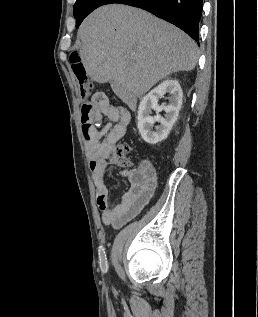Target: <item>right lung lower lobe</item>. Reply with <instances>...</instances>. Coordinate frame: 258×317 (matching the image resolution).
<instances>
[{"instance_id": "98d812e1", "label": "right lung lower lobe", "mask_w": 258, "mask_h": 317, "mask_svg": "<svg viewBox=\"0 0 258 317\" xmlns=\"http://www.w3.org/2000/svg\"><path fill=\"white\" fill-rule=\"evenodd\" d=\"M113 3L144 9L179 27L199 44L203 0H86L75 16L76 27L96 8Z\"/></svg>"}]
</instances>
